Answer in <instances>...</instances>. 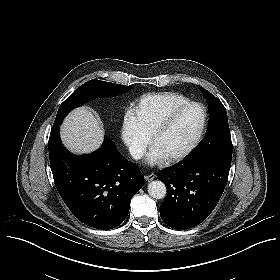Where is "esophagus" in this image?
Listing matches in <instances>:
<instances>
[{
  "instance_id": "esophagus-1",
  "label": "esophagus",
  "mask_w": 280,
  "mask_h": 280,
  "mask_svg": "<svg viewBox=\"0 0 280 280\" xmlns=\"http://www.w3.org/2000/svg\"><path fill=\"white\" fill-rule=\"evenodd\" d=\"M154 178H155V174L153 173L145 176V180L148 182L152 181Z\"/></svg>"
}]
</instances>
